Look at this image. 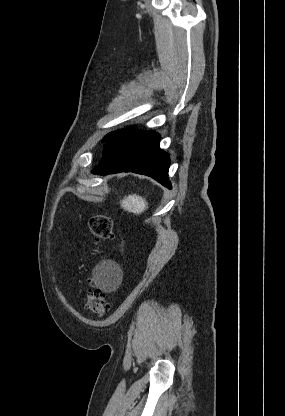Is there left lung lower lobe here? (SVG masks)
<instances>
[{"label":"left lung lower lobe","mask_w":285,"mask_h":416,"mask_svg":"<svg viewBox=\"0 0 285 416\" xmlns=\"http://www.w3.org/2000/svg\"><path fill=\"white\" fill-rule=\"evenodd\" d=\"M155 131L124 129L106 140L103 157L94 174L135 172L150 176L165 187L168 180L169 155L160 149Z\"/></svg>","instance_id":"1"}]
</instances>
